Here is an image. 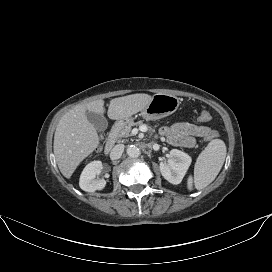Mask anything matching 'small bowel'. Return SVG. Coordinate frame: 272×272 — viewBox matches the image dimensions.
Wrapping results in <instances>:
<instances>
[{
	"instance_id": "small-bowel-1",
	"label": "small bowel",
	"mask_w": 272,
	"mask_h": 272,
	"mask_svg": "<svg viewBox=\"0 0 272 272\" xmlns=\"http://www.w3.org/2000/svg\"><path fill=\"white\" fill-rule=\"evenodd\" d=\"M161 132L172 145L191 148L196 143V137H205L210 129L203 125L178 122L163 128Z\"/></svg>"
}]
</instances>
